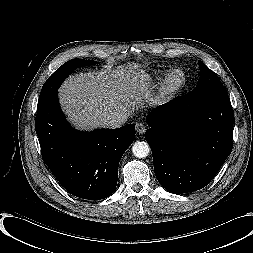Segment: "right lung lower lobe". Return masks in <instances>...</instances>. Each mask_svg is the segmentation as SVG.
<instances>
[{"label":"right lung lower lobe","mask_w":253,"mask_h":253,"mask_svg":"<svg viewBox=\"0 0 253 253\" xmlns=\"http://www.w3.org/2000/svg\"><path fill=\"white\" fill-rule=\"evenodd\" d=\"M35 129L42 158L72 195L89 200L110 196L119 161L135 139L133 124L92 132L74 130L61 112L57 91L37 106Z\"/></svg>","instance_id":"right-lung-lower-lobe-1"}]
</instances>
